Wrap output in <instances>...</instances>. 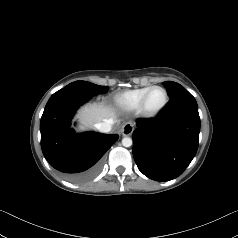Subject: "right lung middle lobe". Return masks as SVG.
Wrapping results in <instances>:
<instances>
[{"label":"right lung middle lobe","instance_id":"1","mask_svg":"<svg viewBox=\"0 0 238 238\" xmlns=\"http://www.w3.org/2000/svg\"><path fill=\"white\" fill-rule=\"evenodd\" d=\"M69 86H76L84 90L86 93L91 95H96L100 93H105L108 91V86H99L86 81H75L69 84Z\"/></svg>","mask_w":238,"mask_h":238}]
</instances>
